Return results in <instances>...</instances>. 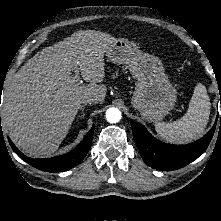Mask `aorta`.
<instances>
[{
    "label": "aorta",
    "instance_id": "762f6f07",
    "mask_svg": "<svg viewBox=\"0 0 221 221\" xmlns=\"http://www.w3.org/2000/svg\"><path fill=\"white\" fill-rule=\"evenodd\" d=\"M106 119L109 123H117L121 119V112L117 108H109L106 111Z\"/></svg>",
    "mask_w": 221,
    "mask_h": 221
}]
</instances>
